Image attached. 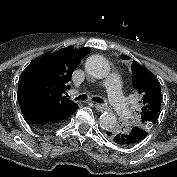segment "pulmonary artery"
Masks as SVG:
<instances>
[{
  "label": "pulmonary artery",
  "instance_id": "1",
  "mask_svg": "<svg viewBox=\"0 0 177 177\" xmlns=\"http://www.w3.org/2000/svg\"><path fill=\"white\" fill-rule=\"evenodd\" d=\"M108 99L114 110L120 115H127L128 108L121 92V80L117 73H112L105 83ZM75 92V91H73Z\"/></svg>",
  "mask_w": 177,
  "mask_h": 177
}]
</instances>
